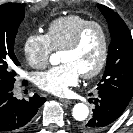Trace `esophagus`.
I'll use <instances>...</instances> for the list:
<instances>
[{
    "label": "esophagus",
    "mask_w": 133,
    "mask_h": 133,
    "mask_svg": "<svg viewBox=\"0 0 133 133\" xmlns=\"http://www.w3.org/2000/svg\"><path fill=\"white\" fill-rule=\"evenodd\" d=\"M59 101L64 103V104H70L72 101L69 99H64V98H59Z\"/></svg>",
    "instance_id": "1"
}]
</instances>
